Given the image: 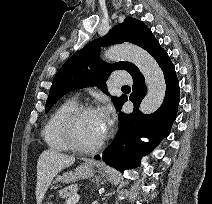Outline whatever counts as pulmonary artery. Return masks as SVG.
Returning a JSON list of instances; mask_svg holds the SVG:
<instances>
[{
  "mask_svg": "<svg viewBox=\"0 0 212 204\" xmlns=\"http://www.w3.org/2000/svg\"><path fill=\"white\" fill-rule=\"evenodd\" d=\"M130 82H131L130 76L124 73H118L113 77V84L116 86L128 84Z\"/></svg>",
  "mask_w": 212,
  "mask_h": 204,
  "instance_id": "e3ab8cb5",
  "label": "pulmonary artery"
}]
</instances>
